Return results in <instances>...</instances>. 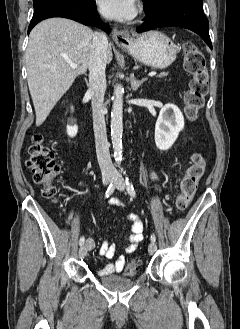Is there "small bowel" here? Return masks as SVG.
Segmentation results:
<instances>
[{
    "mask_svg": "<svg viewBox=\"0 0 240 329\" xmlns=\"http://www.w3.org/2000/svg\"><path fill=\"white\" fill-rule=\"evenodd\" d=\"M110 204L112 206H122L123 202L118 198H111ZM126 220L131 225V234L128 237V245L125 248V252L133 253L139 243L144 239V224L140 217L135 213H130L126 216ZM87 250H94L96 247L95 241L92 238L86 239ZM99 254L105 258L112 259L116 255V246L108 242H104L99 246ZM126 259L123 255L116 258L114 262L106 264L98 272L100 276H108L114 273H119L124 269Z\"/></svg>",
    "mask_w": 240,
    "mask_h": 329,
    "instance_id": "1",
    "label": "small bowel"
}]
</instances>
